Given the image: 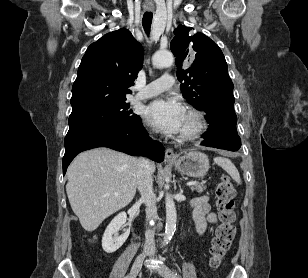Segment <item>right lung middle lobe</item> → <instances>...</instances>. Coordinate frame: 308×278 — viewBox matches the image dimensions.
<instances>
[{
  "instance_id": "right-lung-middle-lobe-1",
  "label": "right lung middle lobe",
  "mask_w": 308,
  "mask_h": 278,
  "mask_svg": "<svg viewBox=\"0 0 308 278\" xmlns=\"http://www.w3.org/2000/svg\"><path fill=\"white\" fill-rule=\"evenodd\" d=\"M128 109L129 104L123 102L70 116L68 123L69 126L85 123L133 126L141 122L140 117L136 114H132V111Z\"/></svg>"
}]
</instances>
